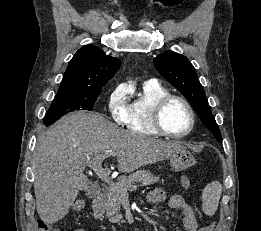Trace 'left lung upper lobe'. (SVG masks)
<instances>
[{
    "label": "left lung upper lobe",
    "instance_id": "left-lung-upper-lobe-1",
    "mask_svg": "<svg viewBox=\"0 0 261 231\" xmlns=\"http://www.w3.org/2000/svg\"><path fill=\"white\" fill-rule=\"evenodd\" d=\"M154 65L159 73L191 103L202 123L218 141H221V133L203 87L188 58L173 51H166L154 59Z\"/></svg>",
    "mask_w": 261,
    "mask_h": 231
}]
</instances>
